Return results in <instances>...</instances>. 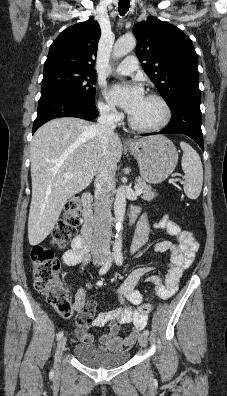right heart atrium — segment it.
Listing matches in <instances>:
<instances>
[{
	"label": "right heart atrium",
	"mask_w": 227,
	"mask_h": 396,
	"mask_svg": "<svg viewBox=\"0 0 227 396\" xmlns=\"http://www.w3.org/2000/svg\"><path fill=\"white\" fill-rule=\"evenodd\" d=\"M98 110L102 117H104L110 121L116 122L121 117V114L118 112V110L113 105L106 103L104 101L98 102Z\"/></svg>",
	"instance_id": "right-heart-atrium-1"
}]
</instances>
